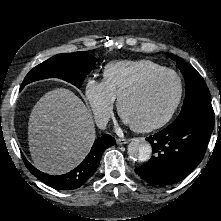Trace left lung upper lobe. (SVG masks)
Returning a JSON list of instances; mask_svg holds the SVG:
<instances>
[{
  "label": "left lung upper lobe",
  "instance_id": "5c2ea615",
  "mask_svg": "<svg viewBox=\"0 0 221 221\" xmlns=\"http://www.w3.org/2000/svg\"><path fill=\"white\" fill-rule=\"evenodd\" d=\"M168 56L177 61V66L184 75L186 87L184 104L175 121L195 109L212 111L210 92L202 76L180 57L173 54Z\"/></svg>",
  "mask_w": 221,
  "mask_h": 221
}]
</instances>
